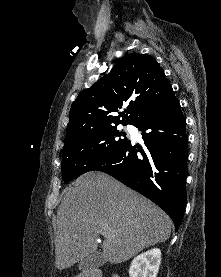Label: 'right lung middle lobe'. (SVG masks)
Here are the masks:
<instances>
[{"mask_svg":"<svg viewBox=\"0 0 221 277\" xmlns=\"http://www.w3.org/2000/svg\"><path fill=\"white\" fill-rule=\"evenodd\" d=\"M117 125L82 131L65 140L62 153V176L65 182L91 171L101 161L129 142Z\"/></svg>","mask_w":221,"mask_h":277,"instance_id":"obj_1","label":"right lung middle lobe"}]
</instances>
